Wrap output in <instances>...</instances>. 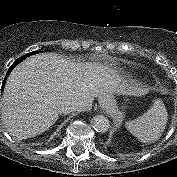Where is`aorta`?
<instances>
[{
	"label": "aorta",
	"mask_w": 177,
	"mask_h": 177,
	"mask_svg": "<svg viewBox=\"0 0 177 177\" xmlns=\"http://www.w3.org/2000/svg\"><path fill=\"white\" fill-rule=\"evenodd\" d=\"M92 127L99 133H105L110 127L109 120L102 115H97L92 119Z\"/></svg>",
	"instance_id": "aorta-1"
}]
</instances>
